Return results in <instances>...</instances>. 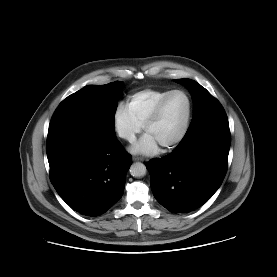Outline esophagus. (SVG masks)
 I'll return each instance as SVG.
<instances>
[{"label":"esophagus","mask_w":277,"mask_h":277,"mask_svg":"<svg viewBox=\"0 0 277 277\" xmlns=\"http://www.w3.org/2000/svg\"><path fill=\"white\" fill-rule=\"evenodd\" d=\"M133 160L134 161H144L145 159L143 157H140V156H134Z\"/></svg>","instance_id":"34e87169"}]
</instances>
